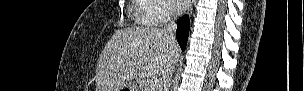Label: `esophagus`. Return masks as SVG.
Returning a JSON list of instances; mask_svg holds the SVG:
<instances>
[{"mask_svg":"<svg viewBox=\"0 0 304 91\" xmlns=\"http://www.w3.org/2000/svg\"><path fill=\"white\" fill-rule=\"evenodd\" d=\"M193 5H194V4L191 5L190 10H189V13L192 12V10H193Z\"/></svg>","mask_w":304,"mask_h":91,"instance_id":"obj_1","label":"esophagus"}]
</instances>
